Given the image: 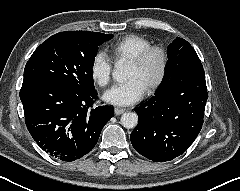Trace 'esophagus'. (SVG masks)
I'll list each match as a JSON object with an SVG mask.
<instances>
[{"label": "esophagus", "instance_id": "esophagus-1", "mask_svg": "<svg viewBox=\"0 0 240 191\" xmlns=\"http://www.w3.org/2000/svg\"><path fill=\"white\" fill-rule=\"evenodd\" d=\"M126 111V109H124V108H115L114 109V113H115V115H120V114H122V113H124Z\"/></svg>", "mask_w": 240, "mask_h": 191}]
</instances>
